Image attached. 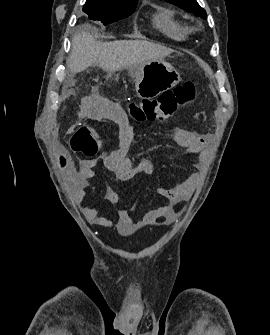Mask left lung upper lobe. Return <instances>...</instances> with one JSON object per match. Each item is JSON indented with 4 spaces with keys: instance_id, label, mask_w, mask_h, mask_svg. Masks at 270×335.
<instances>
[{
    "instance_id": "left-lung-upper-lobe-1",
    "label": "left lung upper lobe",
    "mask_w": 270,
    "mask_h": 335,
    "mask_svg": "<svg viewBox=\"0 0 270 335\" xmlns=\"http://www.w3.org/2000/svg\"><path fill=\"white\" fill-rule=\"evenodd\" d=\"M168 3H172L177 5L178 7L185 9L188 12H192L196 16H200L201 18H207L206 11L199 6L196 0H165Z\"/></svg>"
}]
</instances>
